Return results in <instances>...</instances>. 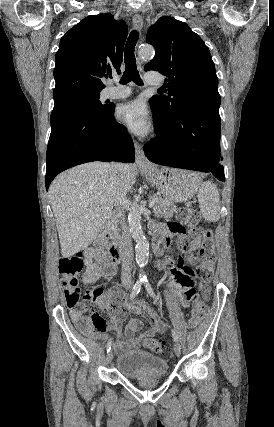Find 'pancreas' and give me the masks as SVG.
Instances as JSON below:
<instances>
[{
    "mask_svg": "<svg viewBox=\"0 0 274 427\" xmlns=\"http://www.w3.org/2000/svg\"><path fill=\"white\" fill-rule=\"evenodd\" d=\"M175 210H177V206H175L174 202H171V200H164V198H160V196H154L153 212L155 217H172ZM115 217H118V215H115ZM113 233L114 239H117V237H119L117 221L113 223Z\"/></svg>",
    "mask_w": 274,
    "mask_h": 427,
    "instance_id": "1",
    "label": "pancreas"
}]
</instances>
